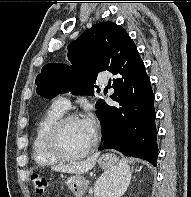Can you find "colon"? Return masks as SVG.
<instances>
[{
	"label": "colon",
	"mask_w": 191,
	"mask_h": 197,
	"mask_svg": "<svg viewBox=\"0 0 191 197\" xmlns=\"http://www.w3.org/2000/svg\"><path fill=\"white\" fill-rule=\"evenodd\" d=\"M31 182L33 184L35 192L37 193H43L48 186L47 179L44 176L37 173H33L31 175Z\"/></svg>",
	"instance_id": "colon-1"
}]
</instances>
